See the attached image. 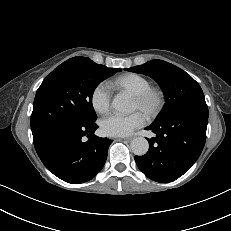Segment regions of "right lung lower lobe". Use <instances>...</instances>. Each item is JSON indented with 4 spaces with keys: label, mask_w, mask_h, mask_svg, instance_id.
I'll use <instances>...</instances> for the list:
<instances>
[{
    "label": "right lung lower lobe",
    "mask_w": 231,
    "mask_h": 231,
    "mask_svg": "<svg viewBox=\"0 0 231 231\" xmlns=\"http://www.w3.org/2000/svg\"><path fill=\"white\" fill-rule=\"evenodd\" d=\"M97 128L95 122L62 124L47 138L34 140L36 152L47 169L63 181L86 182L103 168L113 141L96 136Z\"/></svg>",
    "instance_id": "1"
}]
</instances>
